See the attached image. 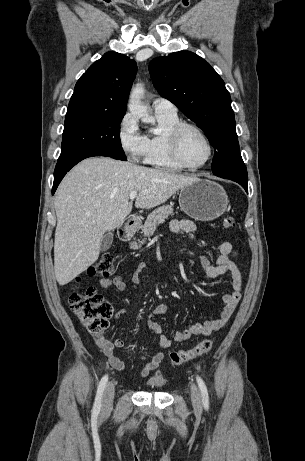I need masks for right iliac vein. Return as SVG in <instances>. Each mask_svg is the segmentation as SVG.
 <instances>
[{
	"instance_id": "1",
	"label": "right iliac vein",
	"mask_w": 305,
	"mask_h": 461,
	"mask_svg": "<svg viewBox=\"0 0 305 461\" xmlns=\"http://www.w3.org/2000/svg\"><path fill=\"white\" fill-rule=\"evenodd\" d=\"M114 383L110 382L104 391L102 400V410L107 411L111 408L114 399Z\"/></svg>"
}]
</instances>
